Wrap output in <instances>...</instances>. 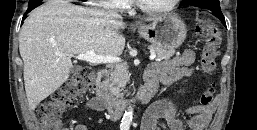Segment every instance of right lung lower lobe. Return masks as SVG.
<instances>
[{
    "mask_svg": "<svg viewBox=\"0 0 257 130\" xmlns=\"http://www.w3.org/2000/svg\"><path fill=\"white\" fill-rule=\"evenodd\" d=\"M39 5H40V3L37 2V1H35L33 4L29 5V6H28V9H27V11H26V13H25V15L23 16L22 21L25 20L26 14H27L28 12H30L31 10H33L34 8H36V7L39 6Z\"/></svg>",
    "mask_w": 257,
    "mask_h": 130,
    "instance_id": "obj_1",
    "label": "right lung lower lobe"
}]
</instances>
